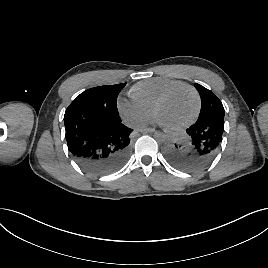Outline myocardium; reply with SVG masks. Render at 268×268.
Returning a JSON list of instances; mask_svg holds the SVG:
<instances>
[{
  "label": "myocardium",
  "mask_w": 268,
  "mask_h": 268,
  "mask_svg": "<svg viewBox=\"0 0 268 268\" xmlns=\"http://www.w3.org/2000/svg\"><path fill=\"white\" fill-rule=\"evenodd\" d=\"M183 88H186V89H189L195 99H196V109H195V112L194 114L192 115V117L190 119H188L186 122L178 125V126H174V127H167L163 124H161L159 122V119H158V111L160 109V107L163 105V103L169 99L175 92H177L178 90L180 89H183ZM200 111H201V97H200V94L199 92L197 91V89L190 85V84H187V83H180V84H177L173 87H171L170 89H168L165 93L162 94V96L158 99V101L156 102L155 106H154V109H153V112H154V116H155V119L157 120V122L163 126L164 128L168 129V130H171V131H179V130H182V129H185L186 127L190 126L191 124H193L199 114H200Z\"/></svg>",
  "instance_id": "obj_1"
}]
</instances>
